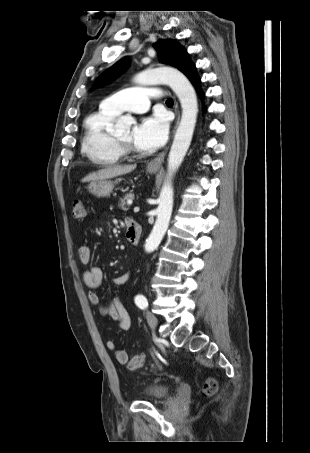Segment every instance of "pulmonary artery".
<instances>
[{"label": "pulmonary artery", "mask_w": 310, "mask_h": 453, "mask_svg": "<svg viewBox=\"0 0 310 453\" xmlns=\"http://www.w3.org/2000/svg\"><path fill=\"white\" fill-rule=\"evenodd\" d=\"M160 96L161 90L156 87L127 88L105 98L101 106L116 114L122 111L144 113L149 108L150 99Z\"/></svg>", "instance_id": "pulmonary-artery-1"}]
</instances>
